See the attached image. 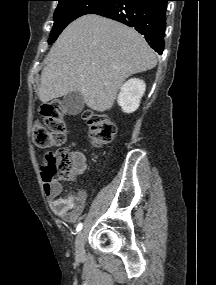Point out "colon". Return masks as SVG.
<instances>
[{
    "instance_id": "1",
    "label": "colon",
    "mask_w": 216,
    "mask_h": 285,
    "mask_svg": "<svg viewBox=\"0 0 216 285\" xmlns=\"http://www.w3.org/2000/svg\"><path fill=\"white\" fill-rule=\"evenodd\" d=\"M42 122H36L33 127V139L37 146L48 148L61 146L65 142V124L63 109L59 101L54 100L45 103L41 107ZM85 119L88 126L92 144L95 147H103L109 144L116 135V127L110 119L94 112H86ZM44 167L46 182L57 179H68L73 174V155L64 147L49 152Z\"/></svg>"
}]
</instances>
